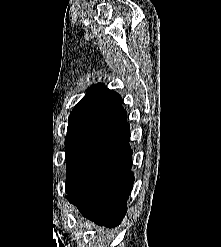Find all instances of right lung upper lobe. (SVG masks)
Returning a JSON list of instances; mask_svg holds the SVG:
<instances>
[{
  "mask_svg": "<svg viewBox=\"0 0 221 247\" xmlns=\"http://www.w3.org/2000/svg\"><path fill=\"white\" fill-rule=\"evenodd\" d=\"M126 115L121 96L104 84L91 86L69 116L68 129L85 130Z\"/></svg>",
  "mask_w": 221,
  "mask_h": 247,
  "instance_id": "1",
  "label": "right lung upper lobe"
}]
</instances>
